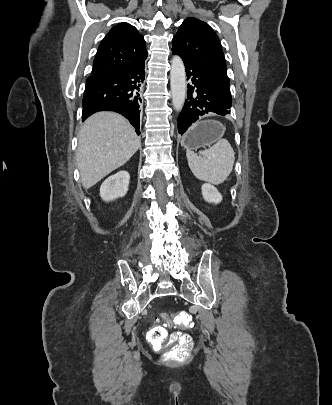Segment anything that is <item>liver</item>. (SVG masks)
Masks as SVG:
<instances>
[{
	"instance_id": "obj_1",
	"label": "liver",
	"mask_w": 332,
	"mask_h": 405,
	"mask_svg": "<svg viewBox=\"0 0 332 405\" xmlns=\"http://www.w3.org/2000/svg\"><path fill=\"white\" fill-rule=\"evenodd\" d=\"M141 146L131 124L105 111L89 117L78 134L77 167L84 188H91L123 166Z\"/></svg>"
}]
</instances>
